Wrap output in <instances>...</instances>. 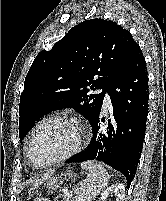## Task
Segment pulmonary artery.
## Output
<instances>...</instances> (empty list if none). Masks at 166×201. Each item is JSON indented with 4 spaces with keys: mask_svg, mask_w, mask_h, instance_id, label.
Here are the masks:
<instances>
[{
    "mask_svg": "<svg viewBox=\"0 0 166 201\" xmlns=\"http://www.w3.org/2000/svg\"><path fill=\"white\" fill-rule=\"evenodd\" d=\"M111 105V101H110V97L108 94L105 95V99H104V106L105 107H110Z\"/></svg>",
    "mask_w": 166,
    "mask_h": 201,
    "instance_id": "pulmonary-artery-1",
    "label": "pulmonary artery"
}]
</instances>
